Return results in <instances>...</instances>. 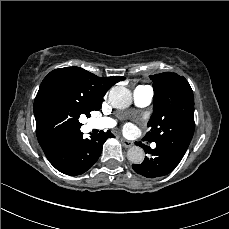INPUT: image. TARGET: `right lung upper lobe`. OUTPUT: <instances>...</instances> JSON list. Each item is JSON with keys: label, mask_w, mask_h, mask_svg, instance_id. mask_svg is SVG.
I'll use <instances>...</instances> for the list:
<instances>
[{"label": "right lung upper lobe", "mask_w": 229, "mask_h": 229, "mask_svg": "<svg viewBox=\"0 0 229 229\" xmlns=\"http://www.w3.org/2000/svg\"><path fill=\"white\" fill-rule=\"evenodd\" d=\"M125 77H97L82 68L65 67L51 71L42 81L37 96L41 94L47 87L60 84L72 88L81 94L88 102L101 106L102 97L106 92L118 81ZM36 96V97H37ZM36 134L41 148L45 155L59 143L60 140L51 139L46 136L36 124Z\"/></svg>", "instance_id": "1"}]
</instances>
